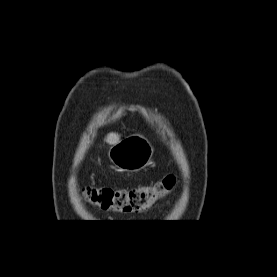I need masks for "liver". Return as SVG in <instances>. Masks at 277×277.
<instances>
[{"mask_svg":"<svg viewBox=\"0 0 277 277\" xmlns=\"http://www.w3.org/2000/svg\"><path fill=\"white\" fill-rule=\"evenodd\" d=\"M105 141L110 145H115L119 143L120 136L116 133H109L107 137L105 138Z\"/></svg>","mask_w":277,"mask_h":277,"instance_id":"1","label":"liver"}]
</instances>
